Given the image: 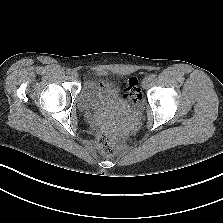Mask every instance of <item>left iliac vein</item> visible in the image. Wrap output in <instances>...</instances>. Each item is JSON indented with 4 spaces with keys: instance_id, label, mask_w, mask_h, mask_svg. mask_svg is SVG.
<instances>
[{
    "instance_id": "4c4485c4",
    "label": "left iliac vein",
    "mask_w": 223,
    "mask_h": 223,
    "mask_svg": "<svg viewBox=\"0 0 223 223\" xmlns=\"http://www.w3.org/2000/svg\"><path fill=\"white\" fill-rule=\"evenodd\" d=\"M150 82H151L150 77H145V78L143 79V81H142V87H143L144 89H147V88L149 87V85H150Z\"/></svg>"
}]
</instances>
